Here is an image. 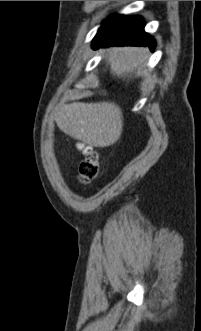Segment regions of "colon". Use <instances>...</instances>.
<instances>
[{
    "label": "colon",
    "mask_w": 201,
    "mask_h": 331,
    "mask_svg": "<svg viewBox=\"0 0 201 331\" xmlns=\"http://www.w3.org/2000/svg\"><path fill=\"white\" fill-rule=\"evenodd\" d=\"M82 150L84 153V159L80 164L79 178L83 184H88L99 172L100 156L89 147H83Z\"/></svg>",
    "instance_id": "obj_1"
}]
</instances>
